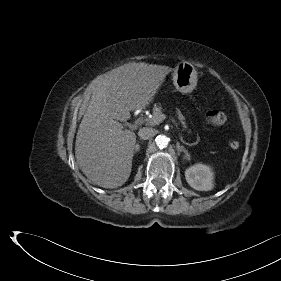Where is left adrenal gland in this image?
<instances>
[{
	"mask_svg": "<svg viewBox=\"0 0 281 281\" xmlns=\"http://www.w3.org/2000/svg\"><path fill=\"white\" fill-rule=\"evenodd\" d=\"M177 151L178 153L184 152L186 157L189 156L188 151L183 146H180L179 144H177Z\"/></svg>",
	"mask_w": 281,
	"mask_h": 281,
	"instance_id": "left-adrenal-gland-1",
	"label": "left adrenal gland"
}]
</instances>
